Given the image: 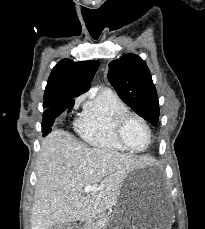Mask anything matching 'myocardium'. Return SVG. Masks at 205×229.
I'll use <instances>...</instances> for the list:
<instances>
[{
	"instance_id": "f54148a6",
	"label": "myocardium",
	"mask_w": 205,
	"mask_h": 229,
	"mask_svg": "<svg viewBox=\"0 0 205 229\" xmlns=\"http://www.w3.org/2000/svg\"><path fill=\"white\" fill-rule=\"evenodd\" d=\"M132 119L139 121L145 127V129L147 131L148 142H147L146 146L142 149H135V148L131 147L125 139V136H124L125 127L128 124V122ZM115 132H116V136H117V139L119 140V142L127 150L135 152V153L145 152L150 147V145L152 143V130L150 128V125L142 116H140L137 113L131 112V111H126L118 117L117 122H116Z\"/></svg>"
}]
</instances>
